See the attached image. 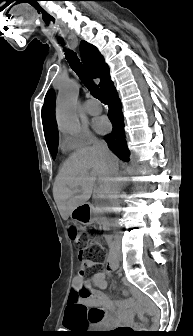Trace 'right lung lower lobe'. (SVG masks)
Instances as JSON below:
<instances>
[{"mask_svg":"<svg viewBox=\"0 0 193 336\" xmlns=\"http://www.w3.org/2000/svg\"><path fill=\"white\" fill-rule=\"evenodd\" d=\"M102 92L108 101V116L113 125L112 132L106 135L104 140L107 142L109 148L114 152V154H116L121 160L128 162L130 160V152L125 141L124 118L121 109L122 104L118 97L114 83L111 80L108 81Z\"/></svg>","mask_w":193,"mask_h":336,"instance_id":"right-lung-lower-lobe-1","label":"right lung lower lobe"}]
</instances>
